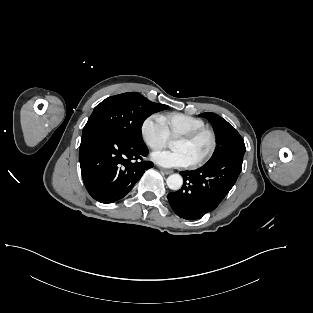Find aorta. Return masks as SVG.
Returning <instances> with one entry per match:
<instances>
[{"instance_id": "1", "label": "aorta", "mask_w": 313, "mask_h": 313, "mask_svg": "<svg viewBox=\"0 0 313 313\" xmlns=\"http://www.w3.org/2000/svg\"><path fill=\"white\" fill-rule=\"evenodd\" d=\"M166 182L171 190H179L183 184V178L179 174H172L167 178Z\"/></svg>"}]
</instances>
